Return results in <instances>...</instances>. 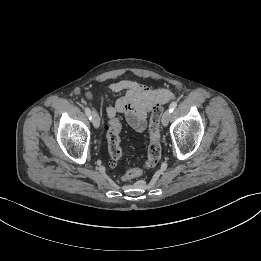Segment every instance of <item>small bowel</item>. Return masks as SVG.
Here are the masks:
<instances>
[{
	"label": "small bowel",
	"instance_id": "c3829d8e",
	"mask_svg": "<svg viewBox=\"0 0 261 261\" xmlns=\"http://www.w3.org/2000/svg\"><path fill=\"white\" fill-rule=\"evenodd\" d=\"M108 93H123L113 105L106 108V116L109 119L116 118L118 113L125 115L128 123L137 131L142 132L146 128L147 114L156 103H166L174 95L164 88L152 89L135 80L123 79L111 83L104 91ZM88 100L93 98L91 93H87ZM99 99L102 95L98 96Z\"/></svg>",
	"mask_w": 261,
	"mask_h": 261
}]
</instances>
